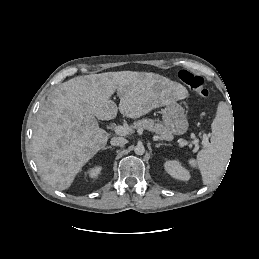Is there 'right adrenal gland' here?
I'll return each instance as SVG.
<instances>
[{
	"mask_svg": "<svg viewBox=\"0 0 259 259\" xmlns=\"http://www.w3.org/2000/svg\"><path fill=\"white\" fill-rule=\"evenodd\" d=\"M103 149H113V147L112 146H106Z\"/></svg>",
	"mask_w": 259,
	"mask_h": 259,
	"instance_id": "right-adrenal-gland-1",
	"label": "right adrenal gland"
}]
</instances>
